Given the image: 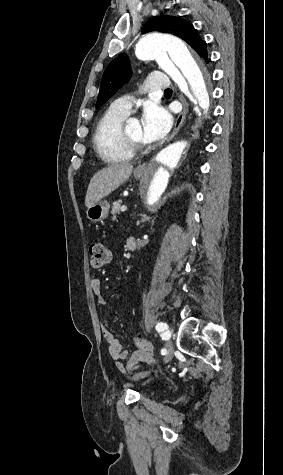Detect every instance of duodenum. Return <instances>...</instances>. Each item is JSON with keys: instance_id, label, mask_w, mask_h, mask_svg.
Segmentation results:
<instances>
[{"instance_id": "1", "label": "duodenum", "mask_w": 283, "mask_h": 475, "mask_svg": "<svg viewBox=\"0 0 283 475\" xmlns=\"http://www.w3.org/2000/svg\"><path fill=\"white\" fill-rule=\"evenodd\" d=\"M127 249L134 251L137 248V241L134 237H129L126 242Z\"/></svg>"}]
</instances>
